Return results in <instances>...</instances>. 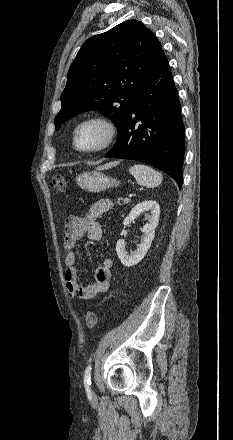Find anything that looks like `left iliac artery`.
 I'll use <instances>...</instances> for the list:
<instances>
[{
	"label": "left iliac artery",
	"instance_id": "obj_1",
	"mask_svg": "<svg viewBox=\"0 0 233 440\" xmlns=\"http://www.w3.org/2000/svg\"><path fill=\"white\" fill-rule=\"evenodd\" d=\"M91 364L87 366L84 374V384L86 387L91 385Z\"/></svg>",
	"mask_w": 233,
	"mask_h": 440
}]
</instances>
